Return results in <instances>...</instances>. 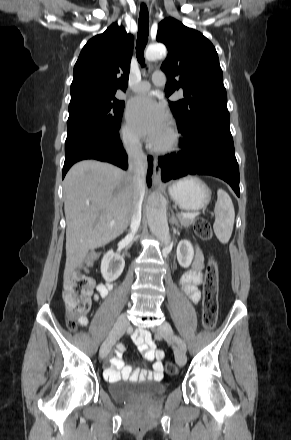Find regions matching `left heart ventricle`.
<instances>
[{
    "mask_svg": "<svg viewBox=\"0 0 291 440\" xmlns=\"http://www.w3.org/2000/svg\"><path fill=\"white\" fill-rule=\"evenodd\" d=\"M167 137H168V131L158 141H156L155 143L162 142V141L166 140Z\"/></svg>",
    "mask_w": 291,
    "mask_h": 440,
    "instance_id": "left-heart-ventricle-1",
    "label": "left heart ventricle"
}]
</instances>
